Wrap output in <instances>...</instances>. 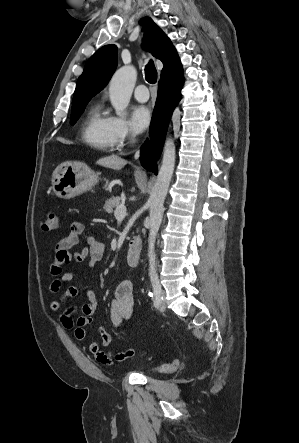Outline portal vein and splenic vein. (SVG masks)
<instances>
[{
  "instance_id": "18ae733b",
  "label": "portal vein and splenic vein",
  "mask_w": 299,
  "mask_h": 443,
  "mask_svg": "<svg viewBox=\"0 0 299 443\" xmlns=\"http://www.w3.org/2000/svg\"><path fill=\"white\" fill-rule=\"evenodd\" d=\"M126 207L124 206V204H121L119 206L116 207L115 212H114V216L117 220H123L127 214L126 212Z\"/></svg>"
}]
</instances>
